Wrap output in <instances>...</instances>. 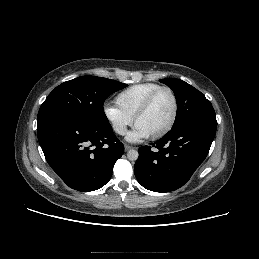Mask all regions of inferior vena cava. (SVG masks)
I'll use <instances>...</instances> for the list:
<instances>
[{
  "instance_id": "1",
  "label": "inferior vena cava",
  "mask_w": 259,
  "mask_h": 259,
  "mask_svg": "<svg viewBox=\"0 0 259 259\" xmlns=\"http://www.w3.org/2000/svg\"><path fill=\"white\" fill-rule=\"evenodd\" d=\"M115 131L120 135H124L126 133V128L119 126L115 128Z\"/></svg>"
}]
</instances>
